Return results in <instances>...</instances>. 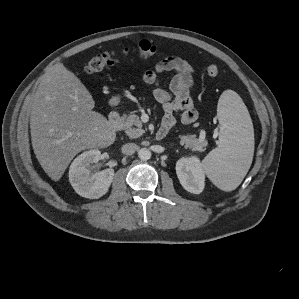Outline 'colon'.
I'll return each instance as SVG.
<instances>
[{
  "label": "colon",
  "instance_id": "colon-1",
  "mask_svg": "<svg viewBox=\"0 0 299 299\" xmlns=\"http://www.w3.org/2000/svg\"><path fill=\"white\" fill-rule=\"evenodd\" d=\"M135 53L142 57H151L158 54L157 48L148 41H142L137 48L134 49ZM130 50L125 49L124 54L129 55ZM118 61L115 53H103L92 57L84 67V71L88 75L95 74L105 67L111 66ZM207 75L215 77L219 74V68L216 64H209L205 69Z\"/></svg>",
  "mask_w": 299,
  "mask_h": 299
}]
</instances>
